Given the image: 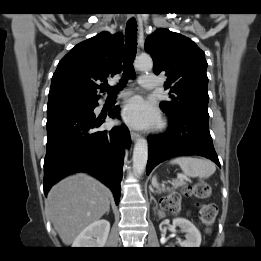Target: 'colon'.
Masks as SVG:
<instances>
[{
  "instance_id": "1",
  "label": "colon",
  "mask_w": 261,
  "mask_h": 261,
  "mask_svg": "<svg viewBox=\"0 0 261 261\" xmlns=\"http://www.w3.org/2000/svg\"><path fill=\"white\" fill-rule=\"evenodd\" d=\"M211 194V186L205 182H199L194 185L186 186L180 194H173L164 197L161 206L172 213H178L182 210V197H196L204 199ZM216 216V206L214 204L202 205L199 208V219L206 225L210 226Z\"/></svg>"
}]
</instances>
